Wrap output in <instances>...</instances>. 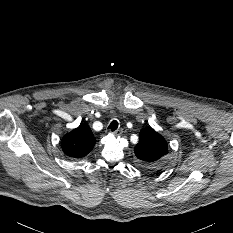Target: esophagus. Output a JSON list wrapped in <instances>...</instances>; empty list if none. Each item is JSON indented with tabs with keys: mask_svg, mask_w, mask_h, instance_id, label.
<instances>
[{
	"mask_svg": "<svg viewBox=\"0 0 233 233\" xmlns=\"http://www.w3.org/2000/svg\"><path fill=\"white\" fill-rule=\"evenodd\" d=\"M113 133H114L115 136H120V135H122V133H123V129H122V128L117 129V130L114 131Z\"/></svg>",
	"mask_w": 233,
	"mask_h": 233,
	"instance_id": "1",
	"label": "esophagus"
}]
</instances>
